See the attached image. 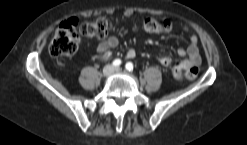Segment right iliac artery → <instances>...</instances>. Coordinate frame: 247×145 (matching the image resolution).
Here are the masks:
<instances>
[{"mask_svg":"<svg viewBox=\"0 0 247 145\" xmlns=\"http://www.w3.org/2000/svg\"><path fill=\"white\" fill-rule=\"evenodd\" d=\"M112 64H113V66L118 67V66L121 65V60L120 59H116V60L113 61Z\"/></svg>","mask_w":247,"mask_h":145,"instance_id":"82829eb1","label":"right iliac artery"}]
</instances>
